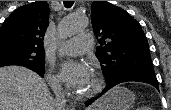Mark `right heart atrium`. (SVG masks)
Returning a JSON list of instances; mask_svg holds the SVG:
<instances>
[{"instance_id": "d8ad5b80", "label": "right heart atrium", "mask_w": 171, "mask_h": 110, "mask_svg": "<svg viewBox=\"0 0 171 110\" xmlns=\"http://www.w3.org/2000/svg\"><path fill=\"white\" fill-rule=\"evenodd\" d=\"M47 81L56 93L62 92V85L59 77L50 69L46 75Z\"/></svg>"}]
</instances>
